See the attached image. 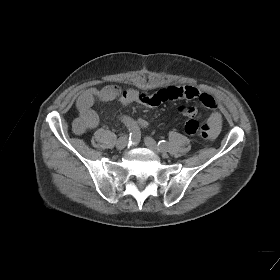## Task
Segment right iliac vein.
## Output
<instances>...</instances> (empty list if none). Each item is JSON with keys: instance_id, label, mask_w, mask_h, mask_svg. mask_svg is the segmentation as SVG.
Returning a JSON list of instances; mask_svg holds the SVG:
<instances>
[{"instance_id": "obj_1", "label": "right iliac vein", "mask_w": 280, "mask_h": 280, "mask_svg": "<svg viewBox=\"0 0 280 280\" xmlns=\"http://www.w3.org/2000/svg\"><path fill=\"white\" fill-rule=\"evenodd\" d=\"M128 139L126 136H122L117 140L116 147L119 150L124 149L127 146Z\"/></svg>"}]
</instances>
